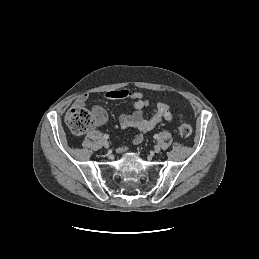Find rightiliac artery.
Here are the masks:
<instances>
[{
  "label": "right iliac artery",
  "instance_id": "obj_1",
  "mask_svg": "<svg viewBox=\"0 0 259 259\" xmlns=\"http://www.w3.org/2000/svg\"><path fill=\"white\" fill-rule=\"evenodd\" d=\"M103 138H104V139H109V135H108V134H104V135H103Z\"/></svg>",
  "mask_w": 259,
  "mask_h": 259
}]
</instances>
